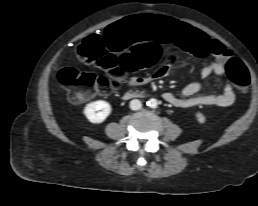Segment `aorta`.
<instances>
[{"mask_svg":"<svg viewBox=\"0 0 258 206\" xmlns=\"http://www.w3.org/2000/svg\"><path fill=\"white\" fill-rule=\"evenodd\" d=\"M147 105L151 108H156L157 107V100L152 98L147 102Z\"/></svg>","mask_w":258,"mask_h":206,"instance_id":"762f6f07","label":"aorta"}]
</instances>
